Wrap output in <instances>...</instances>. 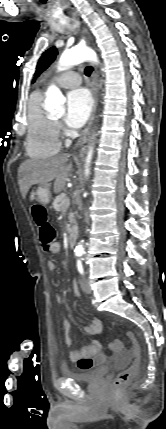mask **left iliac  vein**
Returning a JSON list of instances; mask_svg holds the SVG:
<instances>
[{
	"mask_svg": "<svg viewBox=\"0 0 166 429\" xmlns=\"http://www.w3.org/2000/svg\"><path fill=\"white\" fill-rule=\"evenodd\" d=\"M80 286H81V289H82L85 293L90 294V293L92 292L91 287H90V285H89V282H88V280H87L85 277H83V278L80 280Z\"/></svg>",
	"mask_w": 166,
	"mask_h": 429,
	"instance_id": "4c4485c4",
	"label": "left iliac vein"
}]
</instances>
